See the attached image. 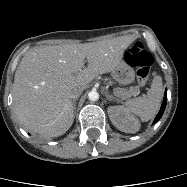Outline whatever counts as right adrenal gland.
Instances as JSON below:
<instances>
[{
	"mask_svg": "<svg viewBox=\"0 0 187 187\" xmlns=\"http://www.w3.org/2000/svg\"><path fill=\"white\" fill-rule=\"evenodd\" d=\"M76 101H77V99H74V100H73L74 109H76V107H75V106H76Z\"/></svg>",
	"mask_w": 187,
	"mask_h": 187,
	"instance_id": "right-adrenal-gland-1",
	"label": "right adrenal gland"
}]
</instances>
